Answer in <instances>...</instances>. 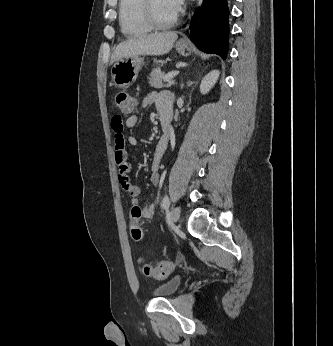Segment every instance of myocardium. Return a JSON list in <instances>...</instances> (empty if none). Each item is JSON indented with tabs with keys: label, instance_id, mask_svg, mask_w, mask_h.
Here are the masks:
<instances>
[{
	"label": "myocardium",
	"instance_id": "1",
	"mask_svg": "<svg viewBox=\"0 0 333 346\" xmlns=\"http://www.w3.org/2000/svg\"><path fill=\"white\" fill-rule=\"evenodd\" d=\"M144 13L148 23L151 27L156 29H166L173 26L178 18L177 14H174L168 20H160L154 12L153 0H143Z\"/></svg>",
	"mask_w": 333,
	"mask_h": 346
}]
</instances>
